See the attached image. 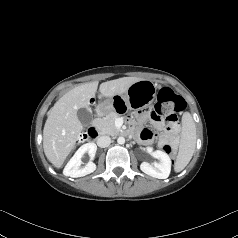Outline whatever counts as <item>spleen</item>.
Wrapping results in <instances>:
<instances>
[{"label":"spleen","mask_w":238,"mask_h":238,"mask_svg":"<svg viewBox=\"0 0 238 238\" xmlns=\"http://www.w3.org/2000/svg\"><path fill=\"white\" fill-rule=\"evenodd\" d=\"M196 146V128L190 113L182 116V134L174 170L182 171L190 162Z\"/></svg>","instance_id":"spleen-1"}]
</instances>
